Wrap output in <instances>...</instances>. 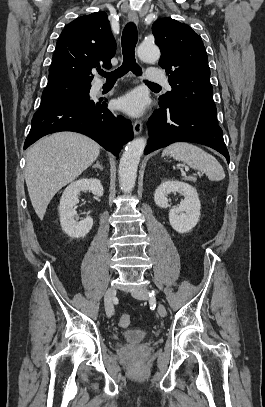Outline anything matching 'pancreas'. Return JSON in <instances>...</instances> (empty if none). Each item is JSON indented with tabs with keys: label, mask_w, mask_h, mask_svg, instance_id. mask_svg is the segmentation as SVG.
<instances>
[{
	"label": "pancreas",
	"mask_w": 265,
	"mask_h": 407,
	"mask_svg": "<svg viewBox=\"0 0 265 407\" xmlns=\"http://www.w3.org/2000/svg\"><path fill=\"white\" fill-rule=\"evenodd\" d=\"M184 179L185 180H187V181H191V182H196V177H193V176H186V177H184Z\"/></svg>",
	"instance_id": "pancreas-1"
}]
</instances>
